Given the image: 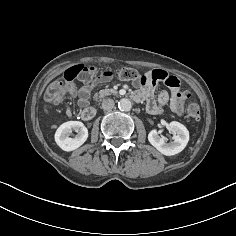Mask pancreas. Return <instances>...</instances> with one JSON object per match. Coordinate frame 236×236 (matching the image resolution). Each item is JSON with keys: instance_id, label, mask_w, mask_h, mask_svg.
<instances>
[{"instance_id": "cf45deb5", "label": "pancreas", "mask_w": 236, "mask_h": 236, "mask_svg": "<svg viewBox=\"0 0 236 236\" xmlns=\"http://www.w3.org/2000/svg\"><path fill=\"white\" fill-rule=\"evenodd\" d=\"M111 94H116V91L113 89H103L100 90L98 93L94 94V99H103L105 96L111 95Z\"/></svg>"}]
</instances>
